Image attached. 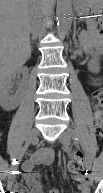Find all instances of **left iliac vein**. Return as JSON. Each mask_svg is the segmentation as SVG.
Listing matches in <instances>:
<instances>
[{"label": "left iliac vein", "instance_id": "left-iliac-vein-1", "mask_svg": "<svg viewBox=\"0 0 103 193\" xmlns=\"http://www.w3.org/2000/svg\"><path fill=\"white\" fill-rule=\"evenodd\" d=\"M59 141L65 146L68 147L70 145L71 142V137L69 134V130L64 131L60 136H59ZM93 180L91 178V176H89V184L92 185Z\"/></svg>", "mask_w": 103, "mask_h": 193}]
</instances>
